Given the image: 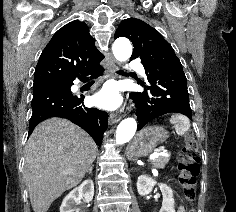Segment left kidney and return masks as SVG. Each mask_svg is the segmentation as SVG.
Masks as SVG:
<instances>
[{
	"label": "left kidney",
	"mask_w": 236,
	"mask_h": 212,
	"mask_svg": "<svg viewBox=\"0 0 236 212\" xmlns=\"http://www.w3.org/2000/svg\"><path fill=\"white\" fill-rule=\"evenodd\" d=\"M156 184L157 182L154 179L146 175H141L138 177L137 180L138 193L141 196H146L152 191L153 187ZM158 186L163 196L162 207L160 209V212H175L172 189L167 184L164 183H159Z\"/></svg>",
	"instance_id": "obj_1"
}]
</instances>
